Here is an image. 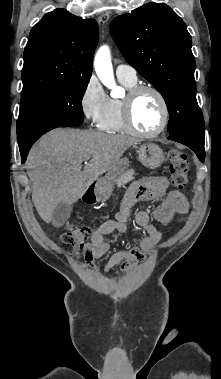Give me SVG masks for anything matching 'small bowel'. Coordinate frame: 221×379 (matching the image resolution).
Segmentation results:
<instances>
[{"label":"small bowel","mask_w":221,"mask_h":379,"mask_svg":"<svg viewBox=\"0 0 221 379\" xmlns=\"http://www.w3.org/2000/svg\"><path fill=\"white\" fill-rule=\"evenodd\" d=\"M169 186V180L163 176L144 177L135 181L124 195L120 209L115 213L114 218L103 222L92 234L91 243L86 248L87 263L93 266L94 260L109 251L110 245L104 240V236L113 232L126 231L131 209L137 202L159 200L165 197L154 214L161 226L170 225L177 214L188 212L190 205L185 194L179 189H173L167 193ZM136 223L145 233L139 246L113 253L103 268L104 272L107 273L113 267L120 265L121 272L128 273L160 242L162 234L150 222L146 212L140 211L136 214Z\"/></svg>","instance_id":"1"}]
</instances>
